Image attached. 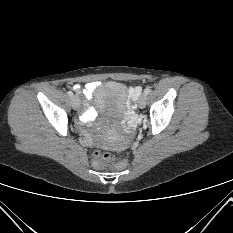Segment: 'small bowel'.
I'll list each match as a JSON object with an SVG mask.
<instances>
[{
  "mask_svg": "<svg viewBox=\"0 0 233 233\" xmlns=\"http://www.w3.org/2000/svg\"><path fill=\"white\" fill-rule=\"evenodd\" d=\"M99 81H92L86 83L83 87L80 85H74L73 89L74 91L83 94L87 101H90L92 99L94 91L100 86ZM137 89H132L131 94L135 96L137 94ZM95 110L92 106L89 105V103L86 106V110L80 115L79 121L82 124H88L92 122L95 118Z\"/></svg>",
  "mask_w": 233,
  "mask_h": 233,
  "instance_id": "c3829d8e",
  "label": "small bowel"
}]
</instances>
